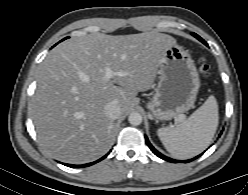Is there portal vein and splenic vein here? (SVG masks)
Here are the masks:
<instances>
[{
  "instance_id": "obj_1",
  "label": "portal vein and splenic vein",
  "mask_w": 248,
  "mask_h": 195,
  "mask_svg": "<svg viewBox=\"0 0 248 195\" xmlns=\"http://www.w3.org/2000/svg\"><path fill=\"white\" fill-rule=\"evenodd\" d=\"M114 75L123 76L124 74L121 72H113L109 67L105 68L104 78L106 81L110 80Z\"/></svg>"
}]
</instances>
